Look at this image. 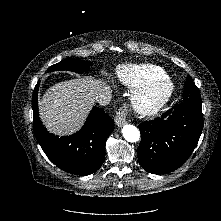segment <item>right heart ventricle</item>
<instances>
[{"instance_id": "obj_1", "label": "right heart ventricle", "mask_w": 221, "mask_h": 221, "mask_svg": "<svg viewBox=\"0 0 221 221\" xmlns=\"http://www.w3.org/2000/svg\"><path fill=\"white\" fill-rule=\"evenodd\" d=\"M166 76L165 71L156 65H124L118 69L120 81L131 89L140 88L154 79Z\"/></svg>"}]
</instances>
